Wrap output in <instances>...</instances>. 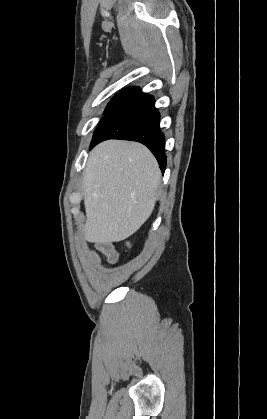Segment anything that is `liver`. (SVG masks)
I'll list each match as a JSON object with an SVG mask.
<instances>
[{
	"mask_svg": "<svg viewBox=\"0 0 267 419\" xmlns=\"http://www.w3.org/2000/svg\"><path fill=\"white\" fill-rule=\"evenodd\" d=\"M161 183L152 153L137 142L108 140L91 152L83 173L85 238L122 241L150 217Z\"/></svg>",
	"mask_w": 267,
	"mask_h": 419,
	"instance_id": "liver-1",
	"label": "liver"
}]
</instances>
